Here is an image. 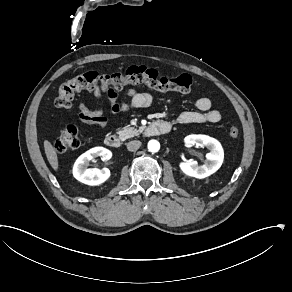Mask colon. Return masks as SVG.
<instances>
[{"mask_svg":"<svg viewBox=\"0 0 292 292\" xmlns=\"http://www.w3.org/2000/svg\"><path fill=\"white\" fill-rule=\"evenodd\" d=\"M128 84H143L149 88L160 91H179L189 93L192 89V79L187 74L175 77L161 76L156 70L145 66H131L125 74L100 75L96 72H87L63 83L55 98L56 107L67 109L71 106L74 96L82 90L101 89L118 91ZM231 136L239 134V128L232 126L229 130ZM80 139L78 131L73 126L63 127L55 142L58 152H66L79 148Z\"/></svg>","mask_w":292,"mask_h":292,"instance_id":"1","label":"colon"}]
</instances>
